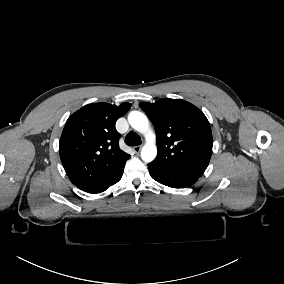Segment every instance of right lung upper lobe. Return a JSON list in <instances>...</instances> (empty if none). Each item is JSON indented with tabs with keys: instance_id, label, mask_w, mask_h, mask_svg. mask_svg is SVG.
Masks as SVG:
<instances>
[{
	"instance_id": "obj_1",
	"label": "right lung upper lobe",
	"mask_w": 284,
	"mask_h": 284,
	"mask_svg": "<svg viewBox=\"0 0 284 284\" xmlns=\"http://www.w3.org/2000/svg\"><path fill=\"white\" fill-rule=\"evenodd\" d=\"M131 107L108 103L89 104L67 120L59 142L63 167L79 189L93 192L124 166L130 155L119 148L118 118Z\"/></svg>"
}]
</instances>
